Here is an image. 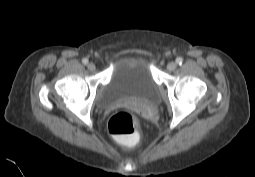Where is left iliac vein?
<instances>
[{
    "label": "left iliac vein",
    "instance_id": "left-iliac-vein-1",
    "mask_svg": "<svg viewBox=\"0 0 255 177\" xmlns=\"http://www.w3.org/2000/svg\"><path fill=\"white\" fill-rule=\"evenodd\" d=\"M176 67H177V64H176L175 62H170V63H168V65H167V69H168L169 71L175 70Z\"/></svg>",
    "mask_w": 255,
    "mask_h": 177
}]
</instances>
